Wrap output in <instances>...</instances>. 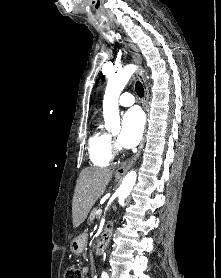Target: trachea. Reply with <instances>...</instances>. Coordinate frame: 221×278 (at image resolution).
I'll use <instances>...</instances> for the list:
<instances>
[{
  "mask_svg": "<svg viewBox=\"0 0 221 278\" xmlns=\"http://www.w3.org/2000/svg\"><path fill=\"white\" fill-rule=\"evenodd\" d=\"M135 90H136V93H137V95L139 97H143L144 96V88H143L142 84L139 81L136 82Z\"/></svg>",
  "mask_w": 221,
  "mask_h": 278,
  "instance_id": "trachea-1",
  "label": "trachea"
}]
</instances>
